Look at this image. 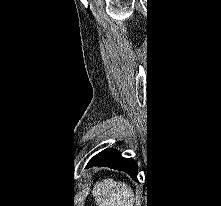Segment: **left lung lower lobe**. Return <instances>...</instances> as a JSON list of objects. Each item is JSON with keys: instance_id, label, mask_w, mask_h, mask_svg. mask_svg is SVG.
<instances>
[{"instance_id": "0a47b994", "label": "left lung lower lobe", "mask_w": 221, "mask_h": 206, "mask_svg": "<svg viewBox=\"0 0 221 206\" xmlns=\"http://www.w3.org/2000/svg\"><path fill=\"white\" fill-rule=\"evenodd\" d=\"M107 166L128 173L133 179L137 180V164L131 158H124L120 152L114 149H106L96 154L88 162L87 167Z\"/></svg>"}]
</instances>
